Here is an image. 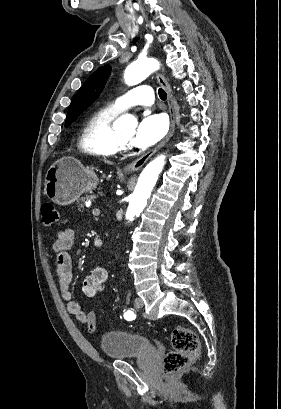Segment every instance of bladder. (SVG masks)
<instances>
[{"instance_id":"31cf9c89","label":"bladder","mask_w":281,"mask_h":409,"mask_svg":"<svg viewBox=\"0 0 281 409\" xmlns=\"http://www.w3.org/2000/svg\"><path fill=\"white\" fill-rule=\"evenodd\" d=\"M98 347L106 358L127 361L132 355H156V345L150 338L126 330H109L100 334Z\"/></svg>"}]
</instances>
